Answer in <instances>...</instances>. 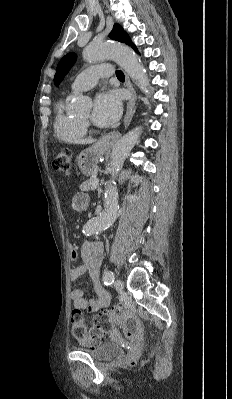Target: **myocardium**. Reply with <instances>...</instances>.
<instances>
[{"label": "myocardium", "mask_w": 232, "mask_h": 399, "mask_svg": "<svg viewBox=\"0 0 232 399\" xmlns=\"http://www.w3.org/2000/svg\"><path fill=\"white\" fill-rule=\"evenodd\" d=\"M85 130L90 134L99 133L98 127L89 119L79 118Z\"/></svg>", "instance_id": "f54148a6"}]
</instances>
